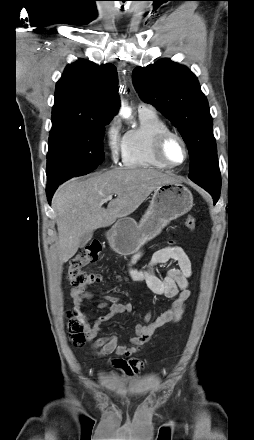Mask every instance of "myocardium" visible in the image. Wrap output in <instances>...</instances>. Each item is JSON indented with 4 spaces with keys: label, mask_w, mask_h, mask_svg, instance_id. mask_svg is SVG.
<instances>
[{
    "label": "myocardium",
    "mask_w": 254,
    "mask_h": 440,
    "mask_svg": "<svg viewBox=\"0 0 254 440\" xmlns=\"http://www.w3.org/2000/svg\"><path fill=\"white\" fill-rule=\"evenodd\" d=\"M171 138H176L177 140H179V142L181 143L183 150H184L183 161L179 164H175V163L170 162L167 159V157L165 156V146H166L167 142L169 141V139H171ZM153 154H154V157L163 165H165L169 168H177V167H180L186 163L188 156H189V149H188V145H187L185 139L183 138V136L181 134H179L178 132L173 131L171 129H167V130L161 131L155 137L154 144H153Z\"/></svg>",
    "instance_id": "obj_1"
}]
</instances>
